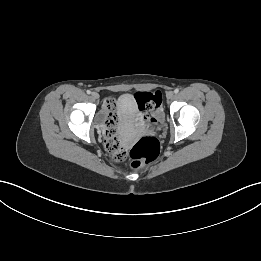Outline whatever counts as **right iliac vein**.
Masks as SVG:
<instances>
[{"mask_svg":"<svg viewBox=\"0 0 261 261\" xmlns=\"http://www.w3.org/2000/svg\"><path fill=\"white\" fill-rule=\"evenodd\" d=\"M91 96H92L93 99L99 98V94L97 92H92Z\"/></svg>","mask_w":261,"mask_h":261,"instance_id":"1","label":"right iliac vein"}]
</instances>
